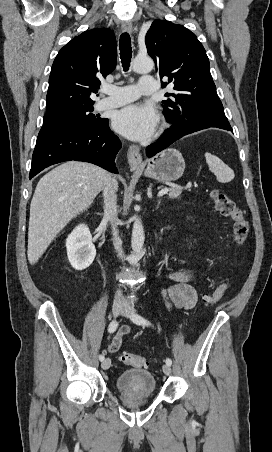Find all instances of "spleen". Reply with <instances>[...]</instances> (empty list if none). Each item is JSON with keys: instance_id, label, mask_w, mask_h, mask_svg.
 Listing matches in <instances>:
<instances>
[{"instance_id": "obj_1", "label": "spleen", "mask_w": 272, "mask_h": 452, "mask_svg": "<svg viewBox=\"0 0 272 452\" xmlns=\"http://www.w3.org/2000/svg\"><path fill=\"white\" fill-rule=\"evenodd\" d=\"M206 163L211 172H213L217 180L221 183H228L234 178L233 170L227 166L220 158L211 153H205Z\"/></svg>"}]
</instances>
